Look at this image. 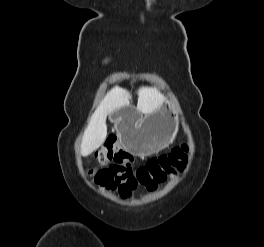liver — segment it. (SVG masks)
<instances>
[{"label": "liver", "mask_w": 264, "mask_h": 247, "mask_svg": "<svg viewBox=\"0 0 264 247\" xmlns=\"http://www.w3.org/2000/svg\"><path fill=\"white\" fill-rule=\"evenodd\" d=\"M137 109L145 114L158 110L165 97L153 88H141L138 91ZM130 93L120 87H114L101 101L100 105L92 115L82 137L81 154L90 155L97 150L105 141L107 136L106 117L109 113L130 104Z\"/></svg>", "instance_id": "6515ba94"}]
</instances>
